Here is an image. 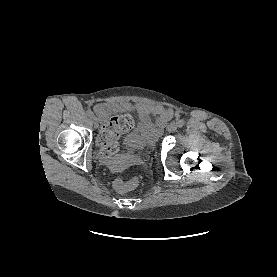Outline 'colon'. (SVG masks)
<instances>
[{
    "label": "colon",
    "instance_id": "5ec220e1",
    "mask_svg": "<svg viewBox=\"0 0 277 277\" xmlns=\"http://www.w3.org/2000/svg\"><path fill=\"white\" fill-rule=\"evenodd\" d=\"M134 126V119L131 115H118L112 117L109 122L104 125L97 138L100 151L106 156H117L120 153L118 139L120 136L128 133ZM114 189L119 193H128L136 189V182L127 181L118 178L113 182Z\"/></svg>",
    "mask_w": 277,
    "mask_h": 277
}]
</instances>
